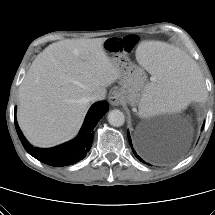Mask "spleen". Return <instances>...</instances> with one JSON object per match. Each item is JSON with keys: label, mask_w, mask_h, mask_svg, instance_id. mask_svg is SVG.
Here are the masks:
<instances>
[{"label": "spleen", "mask_w": 215, "mask_h": 215, "mask_svg": "<svg viewBox=\"0 0 215 215\" xmlns=\"http://www.w3.org/2000/svg\"><path fill=\"white\" fill-rule=\"evenodd\" d=\"M137 56L152 75L140 100L141 112L152 115L180 110L191 100H203L204 86L187 55L159 42H143Z\"/></svg>", "instance_id": "3e777b00"}]
</instances>
